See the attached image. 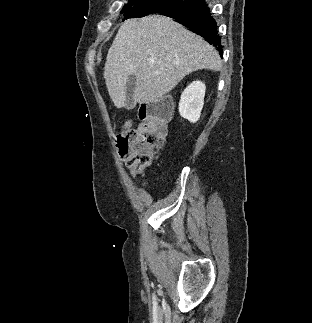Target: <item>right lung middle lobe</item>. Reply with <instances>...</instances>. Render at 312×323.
<instances>
[{
    "label": "right lung middle lobe",
    "mask_w": 312,
    "mask_h": 323,
    "mask_svg": "<svg viewBox=\"0 0 312 323\" xmlns=\"http://www.w3.org/2000/svg\"><path fill=\"white\" fill-rule=\"evenodd\" d=\"M193 0H128L121 13L124 19L142 17L153 13H165L174 11Z\"/></svg>",
    "instance_id": "obj_1"
}]
</instances>
